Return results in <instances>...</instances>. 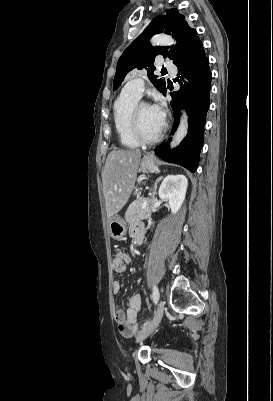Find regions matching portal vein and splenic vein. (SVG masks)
Instances as JSON below:
<instances>
[{
  "mask_svg": "<svg viewBox=\"0 0 273 401\" xmlns=\"http://www.w3.org/2000/svg\"><path fill=\"white\" fill-rule=\"evenodd\" d=\"M148 202H149V199H146V201H143V202H142V205L140 206V209H141V210H144V209H145V206L148 205Z\"/></svg>",
  "mask_w": 273,
  "mask_h": 401,
  "instance_id": "portal-vein-and-splenic-vein-1",
  "label": "portal vein and splenic vein"
}]
</instances>
